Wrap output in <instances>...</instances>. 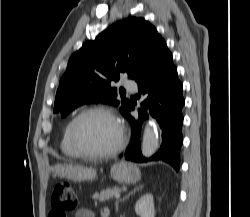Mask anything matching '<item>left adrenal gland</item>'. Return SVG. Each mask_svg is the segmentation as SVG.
<instances>
[{
	"instance_id": "1",
	"label": "left adrenal gland",
	"mask_w": 250,
	"mask_h": 217,
	"mask_svg": "<svg viewBox=\"0 0 250 217\" xmlns=\"http://www.w3.org/2000/svg\"><path fill=\"white\" fill-rule=\"evenodd\" d=\"M143 188V185L137 187V188H134L128 195H126L122 200L124 201L125 199L129 198L132 194H134L136 191H139L140 189ZM118 203H119V200L116 202V211H118Z\"/></svg>"
}]
</instances>
